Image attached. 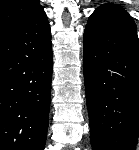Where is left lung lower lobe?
<instances>
[{
    "mask_svg": "<svg viewBox=\"0 0 139 150\" xmlns=\"http://www.w3.org/2000/svg\"><path fill=\"white\" fill-rule=\"evenodd\" d=\"M83 66L93 150H135L139 134V43L130 15L98 7L84 32Z\"/></svg>",
    "mask_w": 139,
    "mask_h": 150,
    "instance_id": "left-lung-lower-lobe-1",
    "label": "left lung lower lobe"
}]
</instances>
